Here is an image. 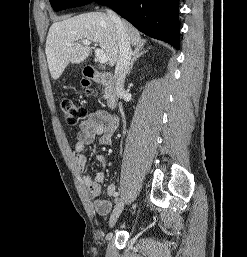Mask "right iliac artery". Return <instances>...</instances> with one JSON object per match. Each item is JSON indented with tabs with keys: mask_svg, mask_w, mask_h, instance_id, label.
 <instances>
[{
	"mask_svg": "<svg viewBox=\"0 0 247 257\" xmlns=\"http://www.w3.org/2000/svg\"><path fill=\"white\" fill-rule=\"evenodd\" d=\"M118 196V192L115 194V197Z\"/></svg>",
	"mask_w": 247,
	"mask_h": 257,
	"instance_id": "right-iliac-artery-1",
	"label": "right iliac artery"
}]
</instances>
